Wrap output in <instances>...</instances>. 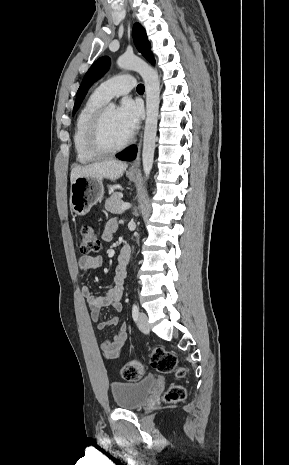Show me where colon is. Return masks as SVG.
Here are the masks:
<instances>
[{
	"label": "colon",
	"mask_w": 289,
	"mask_h": 465,
	"mask_svg": "<svg viewBox=\"0 0 289 465\" xmlns=\"http://www.w3.org/2000/svg\"><path fill=\"white\" fill-rule=\"evenodd\" d=\"M79 247L83 253L99 251L101 242L91 225H83L79 237ZM151 366L160 373L174 372L177 377H184L186 370L179 366L177 357L172 351L156 347L150 357ZM146 374V366L140 359H131L120 368V376L126 381H138ZM185 397V391L181 386L171 387L165 395L167 401H179Z\"/></svg>",
	"instance_id": "1"
}]
</instances>
